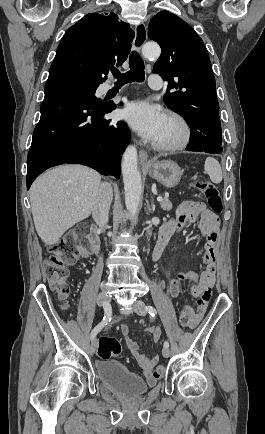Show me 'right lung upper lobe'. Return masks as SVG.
Segmentation results:
<instances>
[{"label":"right lung upper lobe","mask_w":265,"mask_h":434,"mask_svg":"<svg viewBox=\"0 0 265 434\" xmlns=\"http://www.w3.org/2000/svg\"><path fill=\"white\" fill-rule=\"evenodd\" d=\"M134 36L114 12L87 14L62 37L49 77L75 75L102 83L111 65L127 59Z\"/></svg>","instance_id":"cb5924a9"}]
</instances>
